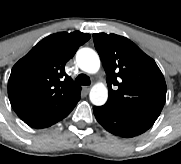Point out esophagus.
I'll return each mask as SVG.
<instances>
[{"instance_id":"1","label":"esophagus","mask_w":181,"mask_h":164,"mask_svg":"<svg viewBox=\"0 0 181 164\" xmlns=\"http://www.w3.org/2000/svg\"><path fill=\"white\" fill-rule=\"evenodd\" d=\"M91 86H84L83 89L86 91V92H89Z\"/></svg>"}]
</instances>
